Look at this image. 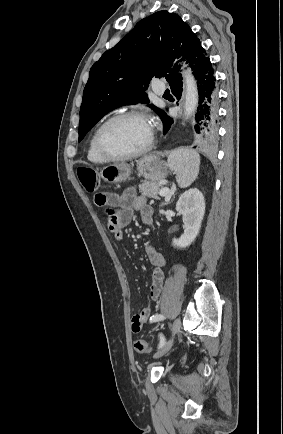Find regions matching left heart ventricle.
Segmentation results:
<instances>
[{
    "label": "left heart ventricle",
    "mask_w": 283,
    "mask_h": 434,
    "mask_svg": "<svg viewBox=\"0 0 283 434\" xmlns=\"http://www.w3.org/2000/svg\"><path fill=\"white\" fill-rule=\"evenodd\" d=\"M151 134L150 124L138 118L124 119L110 125L103 133L104 146L112 153L126 154L144 147Z\"/></svg>",
    "instance_id": "1"
}]
</instances>
